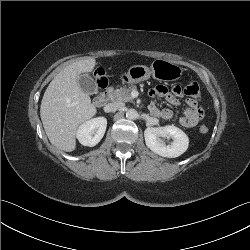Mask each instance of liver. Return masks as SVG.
Returning a JSON list of instances; mask_svg holds the SVG:
<instances>
[{"mask_svg": "<svg viewBox=\"0 0 250 250\" xmlns=\"http://www.w3.org/2000/svg\"><path fill=\"white\" fill-rule=\"evenodd\" d=\"M93 57L66 66L48 85L40 107V117L49 141L59 149L71 152L76 148V132L81 123L96 114L89 94L78 84L82 73L92 72Z\"/></svg>", "mask_w": 250, "mask_h": 250, "instance_id": "6515ba94", "label": "liver"}]
</instances>
